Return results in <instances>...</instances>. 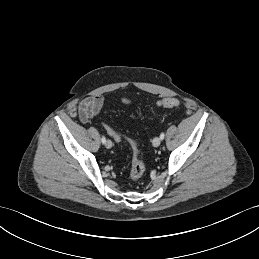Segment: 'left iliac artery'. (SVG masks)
<instances>
[{
  "label": "left iliac artery",
  "mask_w": 259,
  "mask_h": 259,
  "mask_svg": "<svg viewBox=\"0 0 259 259\" xmlns=\"http://www.w3.org/2000/svg\"><path fill=\"white\" fill-rule=\"evenodd\" d=\"M164 137H165V134H164V133H161V134H160V139L163 140Z\"/></svg>",
  "instance_id": "44dca946"
}]
</instances>
